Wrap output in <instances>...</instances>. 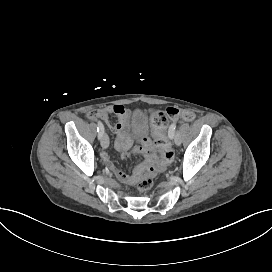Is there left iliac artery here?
Instances as JSON below:
<instances>
[{"label": "left iliac artery", "instance_id": "1", "mask_svg": "<svg viewBox=\"0 0 272 272\" xmlns=\"http://www.w3.org/2000/svg\"><path fill=\"white\" fill-rule=\"evenodd\" d=\"M175 129H176V124L175 123L171 124L169 127V130H168L169 138H173V136L175 134Z\"/></svg>", "mask_w": 272, "mask_h": 272}]
</instances>
